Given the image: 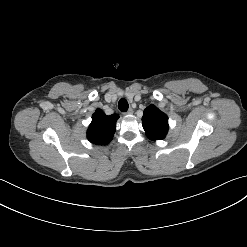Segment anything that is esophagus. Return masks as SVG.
Segmentation results:
<instances>
[{"label": "esophagus", "mask_w": 247, "mask_h": 247, "mask_svg": "<svg viewBox=\"0 0 247 247\" xmlns=\"http://www.w3.org/2000/svg\"><path fill=\"white\" fill-rule=\"evenodd\" d=\"M132 113H133V109L130 108V109H128L126 112H124L123 114H124V115H130V114H132Z\"/></svg>", "instance_id": "34e87169"}]
</instances>
